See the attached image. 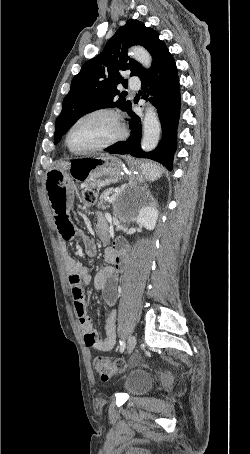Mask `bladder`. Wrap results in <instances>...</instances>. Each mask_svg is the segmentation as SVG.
<instances>
[{
	"label": "bladder",
	"instance_id": "1",
	"mask_svg": "<svg viewBox=\"0 0 250 454\" xmlns=\"http://www.w3.org/2000/svg\"><path fill=\"white\" fill-rule=\"evenodd\" d=\"M152 379L146 371L137 370L124 379V389L131 396L145 394L151 387Z\"/></svg>",
	"mask_w": 250,
	"mask_h": 454
}]
</instances>
